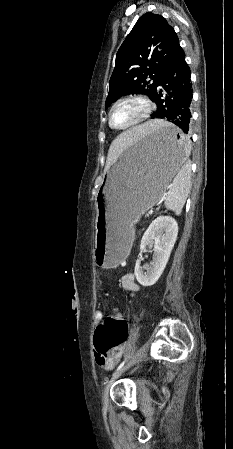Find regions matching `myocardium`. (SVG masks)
<instances>
[{"mask_svg": "<svg viewBox=\"0 0 233 449\" xmlns=\"http://www.w3.org/2000/svg\"><path fill=\"white\" fill-rule=\"evenodd\" d=\"M128 100H136L139 101L143 104L144 106V113L142 114V116L137 119L136 121H134L133 123L123 126V127H117L114 126L112 124L111 118H112V112L115 109V107L117 105H119L120 103L124 102V101H128ZM154 108V105L152 103V101L145 95L142 94H128L125 96L120 97L119 99H117L110 107L109 112H108V123L109 126L114 129V130H118V131H123V130H128L131 128H134L142 123H144L150 116V114L152 113Z\"/></svg>", "mask_w": 233, "mask_h": 449, "instance_id": "myocardium-1", "label": "myocardium"}]
</instances>
